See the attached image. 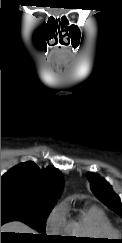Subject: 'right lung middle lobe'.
I'll list each match as a JSON object with an SVG mask.
<instances>
[{
	"instance_id": "right-lung-middle-lobe-1",
	"label": "right lung middle lobe",
	"mask_w": 122,
	"mask_h": 243,
	"mask_svg": "<svg viewBox=\"0 0 122 243\" xmlns=\"http://www.w3.org/2000/svg\"><path fill=\"white\" fill-rule=\"evenodd\" d=\"M54 204H41L17 197H1V225L21 221L39 233L45 231V222ZM46 238L45 234L40 235Z\"/></svg>"
}]
</instances>
